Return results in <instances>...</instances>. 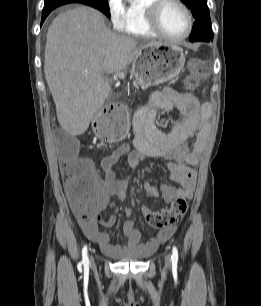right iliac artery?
<instances>
[{
    "instance_id": "right-iliac-artery-1",
    "label": "right iliac artery",
    "mask_w": 261,
    "mask_h": 306,
    "mask_svg": "<svg viewBox=\"0 0 261 306\" xmlns=\"http://www.w3.org/2000/svg\"><path fill=\"white\" fill-rule=\"evenodd\" d=\"M82 263L84 264L85 268L89 267V258H88L87 246H84L83 249H82Z\"/></svg>"
}]
</instances>
